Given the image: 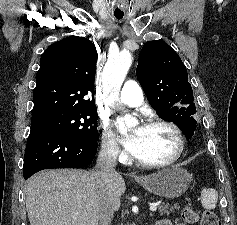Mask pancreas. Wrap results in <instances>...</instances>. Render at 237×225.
I'll list each match as a JSON object with an SVG mask.
<instances>
[{
    "label": "pancreas",
    "instance_id": "obj_1",
    "mask_svg": "<svg viewBox=\"0 0 237 225\" xmlns=\"http://www.w3.org/2000/svg\"><path fill=\"white\" fill-rule=\"evenodd\" d=\"M180 207L177 204H174L173 206H170L167 203H161L158 205V210L160 215L167 214L169 215L171 212H174L175 209H179Z\"/></svg>",
    "mask_w": 237,
    "mask_h": 225
}]
</instances>
